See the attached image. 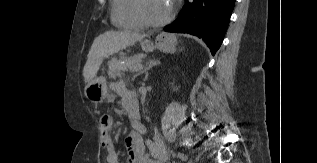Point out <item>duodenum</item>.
Masks as SVG:
<instances>
[{
	"label": "duodenum",
	"mask_w": 317,
	"mask_h": 163,
	"mask_svg": "<svg viewBox=\"0 0 317 163\" xmlns=\"http://www.w3.org/2000/svg\"><path fill=\"white\" fill-rule=\"evenodd\" d=\"M138 115H131V118H133V119H138Z\"/></svg>",
	"instance_id": "1"
}]
</instances>
